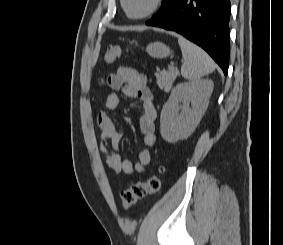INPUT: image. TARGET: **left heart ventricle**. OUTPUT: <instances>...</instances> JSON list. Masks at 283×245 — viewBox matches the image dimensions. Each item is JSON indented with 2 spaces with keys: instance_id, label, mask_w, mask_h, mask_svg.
Wrapping results in <instances>:
<instances>
[{
  "instance_id": "obj_1",
  "label": "left heart ventricle",
  "mask_w": 283,
  "mask_h": 245,
  "mask_svg": "<svg viewBox=\"0 0 283 245\" xmlns=\"http://www.w3.org/2000/svg\"><path fill=\"white\" fill-rule=\"evenodd\" d=\"M154 0H126V7L131 15H140L146 12Z\"/></svg>"
}]
</instances>
